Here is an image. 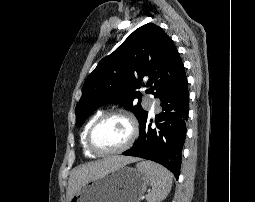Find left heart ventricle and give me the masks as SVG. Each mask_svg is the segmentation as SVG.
<instances>
[{"mask_svg":"<svg viewBox=\"0 0 255 202\" xmlns=\"http://www.w3.org/2000/svg\"><path fill=\"white\" fill-rule=\"evenodd\" d=\"M130 136V125L122 117H110L96 128L93 144L100 151H112L122 147Z\"/></svg>","mask_w":255,"mask_h":202,"instance_id":"b2bd125f","label":"left heart ventricle"}]
</instances>
